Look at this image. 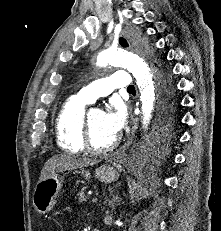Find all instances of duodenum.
Here are the masks:
<instances>
[{
	"label": "duodenum",
	"instance_id": "duodenum-1",
	"mask_svg": "<svg viewBox=\"0 0 221 231\" xmlns=\"http://www.w3.org/2000/svg\"><path fill=\"white\" fill-rule=\"evenodd\" d=\"M91 231H100L98 228H93Z\"/></svg>",
	"mask_w": 221,
	"mask_h": 231
}]
</instances>
